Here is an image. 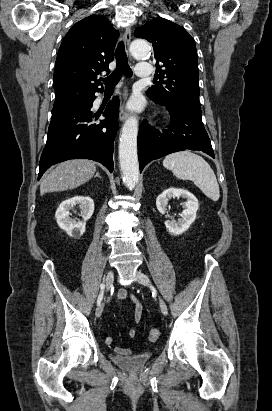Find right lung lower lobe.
I'll return each mask as SVG.
<instances>
[{
  "instance_id": "1",
  "label": "right lung lower lobe",
  "mask_w": 272,
  "mask_h": 411,
  "mask_svg": "<svg viewBox=\"0 0 272 411\" xmlns=\"http://www.w3.org/2000/svg\"><path fill=\"white\" fill-rule=\"evenodd\" d=\"M95 98L93 94L72 107L52 113L38 180L50 166L76 158L100 162L110 172L113 171V141L119 127V99L113 98L104 110L94 112L92 104ZM101 114L104 120H99Z\"/></svg>"
}]
</instances>
